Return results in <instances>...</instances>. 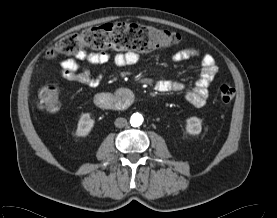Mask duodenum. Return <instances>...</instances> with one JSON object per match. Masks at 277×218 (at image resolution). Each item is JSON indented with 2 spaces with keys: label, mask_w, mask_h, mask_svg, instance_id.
<instances>
[{
  "label": "duodenum",
  "mask_w": 277,
  "mask_h": 218,
  "mask_svg": "<svg viewBox=\"0 0 277 218\" xmlns=\"http://www.w3.org/2000/svg\"><path fill=\"white\" fill-rule=\"evenodd\" d=\"M95 104L103 109L110 111H120L129 107L134 98L129 92H124L117 96H110L106 93H98L95 96Z\"/></svg>",
  "instance_id": "obj_1"
}]
</instances>
